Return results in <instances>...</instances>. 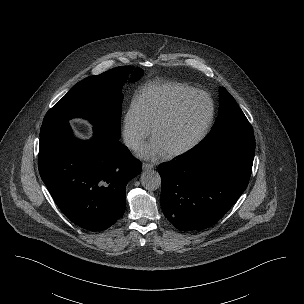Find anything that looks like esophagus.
<instances>
[{
	"label": "esophagus",
	"mask_w": 304,
	"mask_h": 304,
	"mask_svg": "<svg viewBox=\"0 0 304 304\" xmlns=\"http://www.w3.org/2000/svg\"><path fill=\"white\" fill-rule=\"evenodd\" d=\"M142 168H143V170H149V169L154 168V165L151 163H143Z\"/></svg>",
	"instance_id": "1"
}]
</instances>
